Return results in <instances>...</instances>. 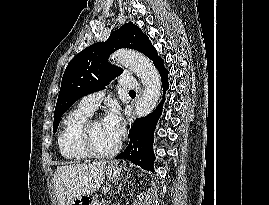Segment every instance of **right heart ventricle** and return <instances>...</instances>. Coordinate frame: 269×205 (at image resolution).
<instances>
[{
    "instance_id": "1",
    "label": "right heart ventricle",
    "mask_w": 269,
    "mask_h": 205,
    "mask_svg": "<svg viewBox=\"0 0 269 205\" xmlns=\"http://www.w3.org/2000/svg\"><path fill=\"white\" fill-rule=\"evenodd\" d=\"M91 115L92 113L79 106L65 116L57 139L60 154L65 160L80 162L88 158L80 146L79 135Z\"/></svg>"
}]
</instances>
